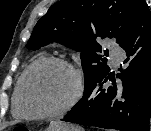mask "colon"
Listing matches in <instances>:
<instances>
[{"mask_svg": "<svg viewBox=\"0 0 151 131\" xmlns=\"http://www.w3.org/2000/svg\"><path fill=\"white\" fill-rule=\"evenodd\" d=\"M13 131H31L28 127L26 126H16Z\"/></svg>", "mask_w": 151, "mask_h": 131, "instance_id": "5ec220e1", "label": "colon"}]
</instances>
